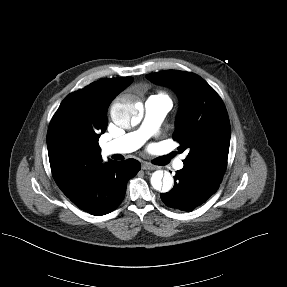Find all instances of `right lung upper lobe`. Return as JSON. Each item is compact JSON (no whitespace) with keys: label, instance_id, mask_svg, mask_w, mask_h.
Instances as JSON below:
<instances>
[{"label":"right lung upper lobe","instance_id":"obj_1","mask_svg":"<svg viewBox=\"0 0 287 287\" xmlns=\"http://www.w3.org/2000/svg\"><path fill=\"white\" fill-rule=\"evenodd\" d=\"M133 78H104L69 94L47 132L49 162L55 182L71 196L92 168L102 162L98 140L107 128L112 100Z\"/></svg>","mask_w":287,"mask_h":287}]
</instances>
